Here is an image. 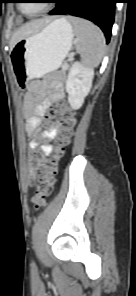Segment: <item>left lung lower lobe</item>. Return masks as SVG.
<instances>
[{
  "label": "left lung lower lobe",
  "mask_w": 136,
  "mask_h": 296,
  "mask_svg": "<svg viewBox=\"0 0 136 296\" xmlns=\"http://www.w3.org/2000/svg\"><path fill=\"white\" fill-rule=\"evenodd\" d=\"M117 2L118 0H57L55 9L49 14H69L88 19L102 29L108 43Z\"/></svg>",
  "instance_id": "0a47b994"
}]
</instances>
